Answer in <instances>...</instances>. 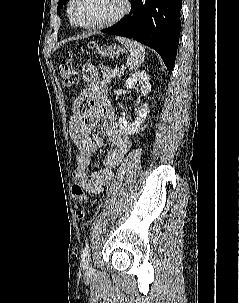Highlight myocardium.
Wrapping results in <instances>:
<instances>
[{
    "instance_id": "f54148a6",
    "label": "myocardium",
    "mask_w": 239,
    "mask_h": 303,
    "mask_svg": "<svg viewBox=\"0 0 239 303\" xmlns=\"http://www.w3.org/2000/svg\"><path fill=\"white\" fill-rule=\"evenodd\" d=\"M78 3H79V0H72L71 17L76 26L86 29V30H97V29H104V28L111 27V26L117 24L118 22H120L129 13L130 8H131L130 0H121L122 8H121L120 12L112 19L101 22V23L84 24L79 20V18L77 16L76 9H77Z\"/></svg>"
}]
</instances>
